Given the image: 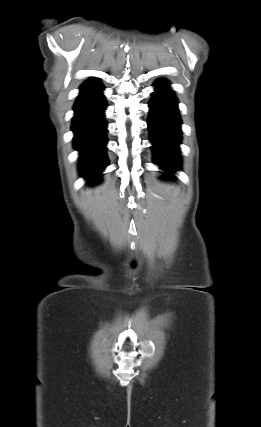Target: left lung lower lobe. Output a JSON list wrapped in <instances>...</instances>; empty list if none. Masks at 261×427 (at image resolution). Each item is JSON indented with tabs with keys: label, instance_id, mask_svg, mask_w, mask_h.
<instances>
[{
	"label": "left lung lower lobe",
	"instance_id": "1",
	"mask_svg": "<svg viewBox=\"0 0 261 427\" xmlns=\"http://www.w3.org/2000/svg\"><path fill=\"white\" fill-rule=\"evenodd\" d=\"M155 86L156 91L150 100L151 110L148 118L154 160L165 170L177 169L181 135L178 102L168 87V82L159 80Z\"/></svg>",
	"mask_w": 261,
	"mask_h": 427
}]
</instances>
